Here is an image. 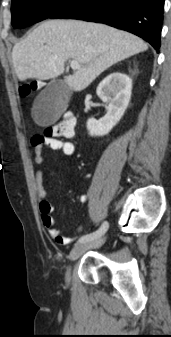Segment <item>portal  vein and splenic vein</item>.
Listing matches in <instances>:
<instances>
[{"mask_svg":"<svg viewBox=\"0 0 171 337\" xmlns=\"http://www.w3.org/2000/svg\"><path fill=\"white\" fill-rule=\"evenodd\" d=\"M70 67L74 70L79 69L81 67L80 63L76 60H72L70 62Z\"/></svg>","mask_w":171,"mask_h":337,"instance_id":"18ae733b","label":"portal vein and splenic vein"}]
</instances>
